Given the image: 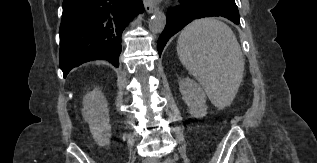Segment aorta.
Returning a JSON list of instances; mask_svg holds the SVG:
<instances>
[{
	"instance_id": "aorta-1",
	"label": "aorta",
	"mask_w": 317,
	"mask_h": 163,
	"mask_svg": "<svg viewBox=\"0 0 317 163\" xmlns=\"http://www.w3.org/2000/svg\"><path fill=\"white\" fill-rule=\"evenodd\" d=\"M166 25V16L163 12H156L149 21V29L152 33H161Z\"/></svg>"
}]
</instances>
